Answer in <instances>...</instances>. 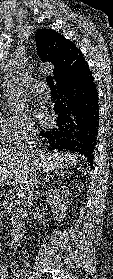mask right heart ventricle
<instances>
[{
	"mask_svg": "<svg viewBox=\"0 0 113 279\" xmlns=\"http://www.w3.org/2000/svg\"><path fill=\"white\" fill-rule=\"evenodd\" d=\"M11 136L9 132V117H6L0 111V146L11 143Z\"/></svg>",
	"mask_w": 113,
	"mask_h": 279,
	"instance_id": "obj_1",
	"label": "right heart ventricle"
}]
</instances>
